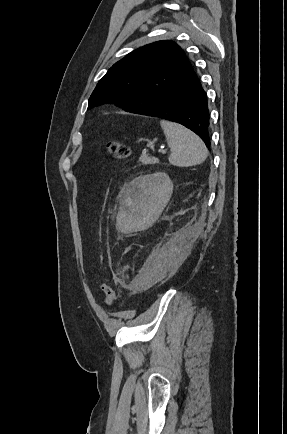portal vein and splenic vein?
<instances>
[{"label": "portal vein and splenic vein", "mask_w": 287, "mask_h": 434, "mask_svg": "<svg viewBox=\"0 0 287 434\" xmlns=\"http://www.w3.org/2000/svg\"><path fill=\"white\" fill-rule=\"evenodd\" d=\"M160 152H162V153H165V151H164V150H162V151H160Z\"/></svg>", "instance_id": "portal-vein-and-splenic-vein-1"}]
</instances>
